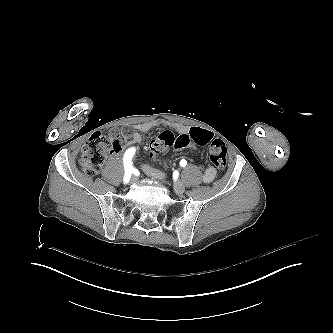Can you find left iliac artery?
<instances>
[{"instance_id": "44dca946", "label": "left iliac artery", "mask_w": 333, "mask_h": 333, "mask_svg": "<svg viewBox=\"0 0 333 333\" xmlns=\"http://www.w3.org/2000/svg\"><path fill=\"white\" fill-rule=\"evenodd\" d=\"M180 165H181L182 167H185V166L187 165L186 160L182 159V160L180 161Z\"/></svg>"}]
</instances>
